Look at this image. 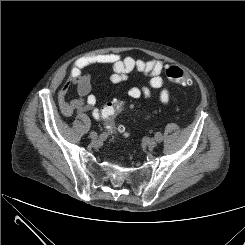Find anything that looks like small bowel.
<instances>
[{
	"label": "small bowel",
	"mask_w": 245,
	"mask_h": 245,
	"mask_svg": "<svg viewBox=\"0 0 245 245\" xmlns=\"http://www.w3.org/2000/svg\"><path fill=\"white\" fill-rule=\"evenodd\" d=\"M94 65H110L112 67L110 80L114 84L126 81L133 71L149 76V86L132 87L128 90V96L131 99H151L152 89L160 90L159 100L161 103L165 104L171 99L170 91L165 87L162 77L165 67L162 61L156 59L141 60L132 57L122 58L115 53L90 54L74 62L66 81L58 92V104L64 115L70 116L74 111H92L96 120L102 118V111L96 107V96L91 93V76L83 72L85 68ZM71 86L76 88L78 97L68 101L66 96Z\"/></svg>",
	"instance_id": "1"
}]
</instances>
